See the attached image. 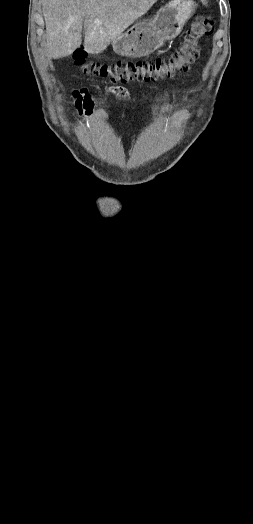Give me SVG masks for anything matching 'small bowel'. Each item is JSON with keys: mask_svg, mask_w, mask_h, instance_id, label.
Instances as JSON below:
<instances>
[{"mask_svg": "<svg viewBox=\"0 0 253 524\" xmlns=\"http://www.w3.org/2000/svg\"><path fill=\"white\" fill-rule=\"evenodd\" d=\"M108 92L114 94L115 96L121 99L129 97L128 91L125 88L119 87V86L110 87L108 89ZM71 95L73 97H77L78 104H81L83 102H86V103L90 102L89 97L85 94V90H81L79 93L76 90H73L71 92ZM89 115H90V120L92 121H99V120H104L107 118V113L105 112V110L97 106L91 107V113ZM183 115H184L183 112H178L175 116V121L176 122L179 121L180 118L183 117Z\"/></svg>", "mask_w": 253, "mask_h": 524, "instance_id": "c3829d8e", "label": "small bowel"}]
</instances>
